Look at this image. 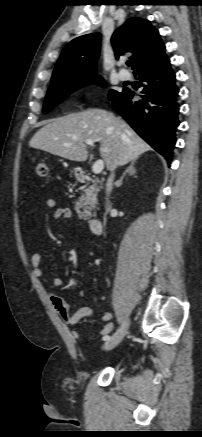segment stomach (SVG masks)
I'll list each match as a JSON object with an SVG mask.
<instances>
[{
    "label": "stomach",
    "instance_id": "obj_1",
    "mask_svg": "<svg viewBox=\"0 0 202 437\" xmlns=\"http://www.w3.org/2000/svg\"><path fill=\"white\" fill-rule=\"evenodd\" d=\"M74 171H75V172H77V171H78V169L76 168V169H74Z\"/></svg>",
    "mask_w": 202,
    "mask_h": 437
}]
</instances>
